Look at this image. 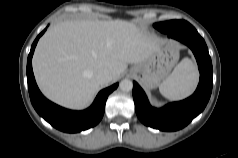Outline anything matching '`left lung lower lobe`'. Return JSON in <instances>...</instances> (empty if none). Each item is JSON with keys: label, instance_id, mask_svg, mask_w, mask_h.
I'll use <instances>...</instances> for the list:
<instances>
[{"label": "left lung lower lobe", "instance_id": "obj_1", "mask_svg": "<svg viewBox=\"0 0 238 158\" xmlns=\"http://www.w3.org/2000/svg\"><path fill=\"white\" fill-rule=\"evenodd\" d=\"M169 30L168 37L186 44L193 51L200 71V82L192 96L160 109L152 107L141 87L133 82V99L138 118L146 126L162 131H176L188 125L204 110L213 85V69L208 48L196 29L188 23L180 27L171 26Z\"/></svg>", "mask_w": 238, "mask_h": 158}]
</instances>
